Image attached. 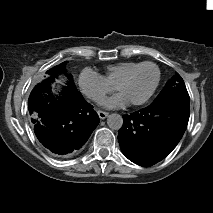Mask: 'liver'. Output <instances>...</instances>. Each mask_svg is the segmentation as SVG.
<instances>
[{
    "mask_svg": "<svg viewBox=\"0 0 213 213\" xmlns=\"http://www.w3.org/2000/svg\"><path fill=\"white\" fill-rule=\"evenodd\" d=\"M57 82H58V83H62L61 80H58ZM58 88H59V87H58Z\"/></svg>",
    "mask_w": 213,
    "mask_h": 213,
    "instance_id": "1",
    "label": "liver"
}]
</instances>
